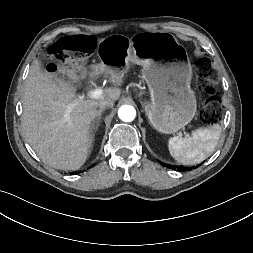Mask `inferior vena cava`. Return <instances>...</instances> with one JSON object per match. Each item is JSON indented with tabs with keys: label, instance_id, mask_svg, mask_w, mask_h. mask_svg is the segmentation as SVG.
Segmentation results:
<instances>
[{
	"label": "inferior vena cava",
	"instance_id": "1",
	"mask_svg": "<svg viewBox=\"0 0 253 253\" xmlns=\"http://www.w3.org/2000/svg\"><path fill=\"white\" fill-rule=\"evenodd\" d=\"M98 106L100 109L112 108L114 106V101L110 99H103L99 102Z\"/></svg>",
	"mask_w": 253,
	"mask_h": 253
}]
</instances>
